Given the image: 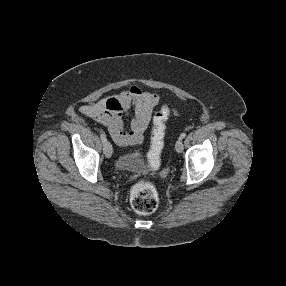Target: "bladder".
<instances>
[{
    "label": "bladder",
    "instance_id": "obj_1",
    "mask_svg": "<svg viewBox=\"0 0 286 286\" xmlns=\"http://www.w3.org/2000/svg\"><path fill=\"white\" fill-rule=\"evenodd\" d=\"M142 166V154L137 150L132 153L122 154L115 160V168L118 171L128 172L139 169Z\"/></svg>",
    "mask_w": 286,
    "mask_h": 286
}]
</instances>
